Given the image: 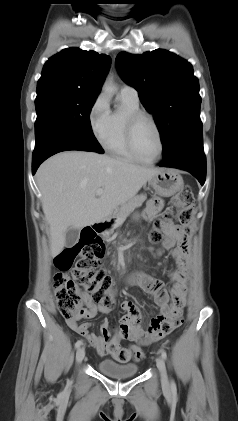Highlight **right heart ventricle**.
I'll return each mask as SVG.
<instances>
[{
    "label": "right heart ventricle",
    "instance_id": "e07e8e85",
    "mask_svg": "<svg viewBox=\"0 0 238 421\" xmlns=\"http://www.w3.org/2000/svg\"><path fill=\"white\" fill-rule=\"evenodd\" d=\"M122 110L110 112L106 133L101 140L103 147L111 154L128 162H137L130 152L125 136V121L129 113L138 111L139 102H133L120 96Z\"/></svg>",
    "mask_w": 238,
    "mask_h": 421
}]
</instances>
